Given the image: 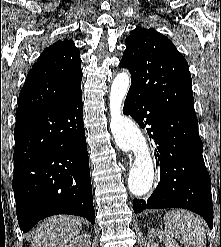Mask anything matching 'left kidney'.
<instances>
[{
    "label": "left kidney",
    "instance_id": "left-kidney-1",
    "mask_svg": "<svg viewBox=\"0 0 221 247\" xmlns=\"http://www.w3.org/2000/svg\"><path fill=\"white\" fill-rule=\"evenodd\" d=\"M156 237H159L160 241H163L166 247H180L173 238L160 230H151L147 237V247H158L155 243Z\"/></svg>",
    "mask_w": 221,
    "mask_h": 247
}]
</instances>
